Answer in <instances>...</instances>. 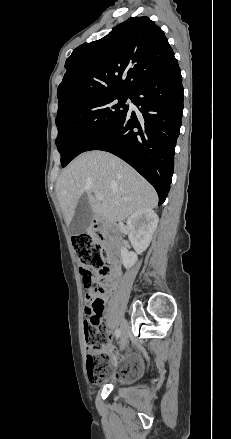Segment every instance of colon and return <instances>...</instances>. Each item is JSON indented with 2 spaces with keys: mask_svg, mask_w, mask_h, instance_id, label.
Returning a JSON list of instances; mask_svg holds the SVG:
<instances>
[{
  "mask_svg": "<svg viewBox=\"0 0 231 439\" xmlns=\"http://www.w3.org/2000/svg\"><path fill=\"white\" fill-rule=\"evenodd\" d=\"M72 244L78 258L79 271L83 278V286L88 291H104L110 276L108 267V253L105 248L95 243L89 234H78L72 237ZM96 278L97 280H94ZM93 310L100 314L103 311V303L95 300L91 304ZM85 340L90 351L86 356V365L89 376L96 382L104 381L108 375V363L110 355L105 352H92L97 347L109 344L105 340V333L93 318L85 326Z\"/></svg>",
  "mask_w": 231,
  "mask_h": 439,
  "instance_id": "1",
  "label": "colon"
}]
</instances>
